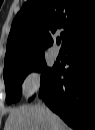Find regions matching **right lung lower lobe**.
<instances>
[{
	"mask_svg": "<svg viewBox=\"0 0 95 130\" xmlns=\"http://www.w3.org/2000/svg\"><path fill=\"white\" fill-rule=\"evenodd\" d=\"M63 51L69 69L55 66L39 96L70 127L91 129L95 122V31L68 43Z\"/></svg>",
	"mask_w": 95,
	"mask_h": 130,
	"instance_id": "obj_1",
	"label": "right lung lower lobe"
}]
</instances>
